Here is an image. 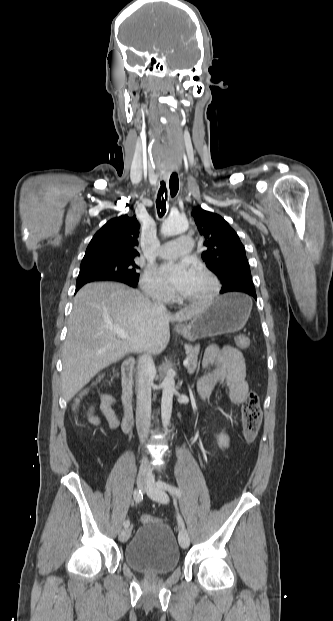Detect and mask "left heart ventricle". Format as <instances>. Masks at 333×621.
<instances>
[{
    "label": "left heart ventricle",
    "instance_id": "b2bd125f",
    "mask_svg": "<svg viewBox=\"0 0 333 621\" xmlns=\"http://www.w3.org/2000/svg\"><path fill=\"white\" fill-rule=\"evenodd\" d=\"M212 288L211 282L203 274L194 270L193 276L187 286L179 292L183 297H198L206 295Z\"/></svg>",
    "mask_w": 333,
    "mask_h": 621
}]
</instances>
